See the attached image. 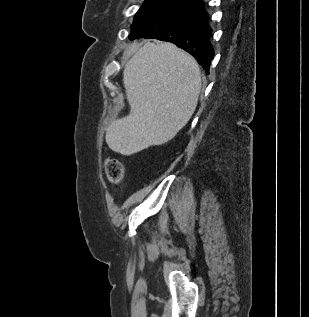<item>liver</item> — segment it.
Returning <instances> with one entry per match:
<instances>
[{"label":"liver","mask_w":309,"mask_h":317,"mask_svg":"<svg viewBox=\"0 0 309 317\" xmlns=\"http://www.w3.org/2000/svg\"><path fill=\"white\" fill-rule=\"evenodd\" d=\"M123 71L128 116L106 130L109 148L132 155L174 138L193 115L201 90L200 69L188 53L168 42H146Z\"/></svg>","instance_id":"6515ba94"}]
</instances>
